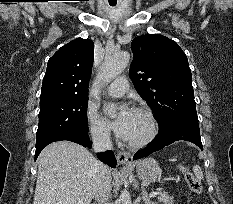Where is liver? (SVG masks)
I'll return each mask as SVG.
<instances>
[{"label": "liver", "mask_w": 233, "mask_h": 204, "mask_svg": "<svg viewBox=\"0 0 233 204\" xmlns=\"http://www.w3.org/2000/svg\"><path fill=\"white\" fill-rule=\"evenodd\" d=\"M33 204H90L106 172L86 148L69 141L45 147L38 159Z\"/></svg>", "instance_id": "obj_1"}]
</instances>
